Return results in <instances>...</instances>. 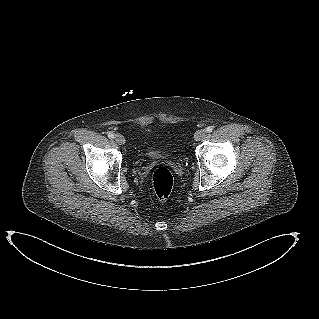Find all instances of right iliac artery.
I'll return each instance as SVG.
<instances>
[{
    "instance_id": "1",
    "label": "right iliac artery",
    "mask_w": 319,
    "mask_h": 319,
    "mask_svg": "<svg viewBox=\"0 0 319 319\" xmlns=\"http://www.w3.org/2000/svg\"><path fill=\"white\" fill-rule=\"evenodd\" d=\"M108 137H109L110 139H113V138H114V134H113L112 132H109V133H108Z\"/></svg>"
}]
</instances>
